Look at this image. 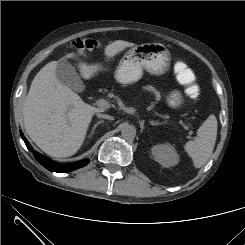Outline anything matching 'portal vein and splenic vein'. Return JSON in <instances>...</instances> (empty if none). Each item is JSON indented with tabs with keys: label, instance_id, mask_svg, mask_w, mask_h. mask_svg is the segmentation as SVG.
<instances>
[{
	"label": "portal vein and splenic vein",
	"instance_id": "18ae733b",
	"mask_svg": "<svg viewBox=\"0 0 245 245\" xmlns=\"http://www.w3.org/2000/svg\"><path fill=\"white\" fill-rule=\"evenodd\" d=\"M96 103H97V106H99L102 109H106V108H109L110 107L109 102H107L104 99H99V100H97Z\"/></svg>",
	"mask_w": 245,
	"mask_h": 245
}]
</instances>
